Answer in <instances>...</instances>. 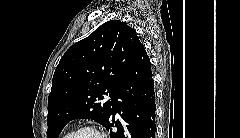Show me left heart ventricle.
Instances as JSON below:
<instances>
[{
  "label": "left heart ventricle",
  "mask_w": 240,
  "mask_h": 138,
  "mask_svg": "<svg viewBox=\"0 0 240 138\" xmlns=\"http://www.w3.org/2000/svg\"><path fill=\"white\" fill-rule=\"evenodd\" d=\"M77 138H98V137L95 133L86 131L79 134Z\"/></svg>",
  "instance_id": "left-heart-ventricle-1"
}]
</instances>
